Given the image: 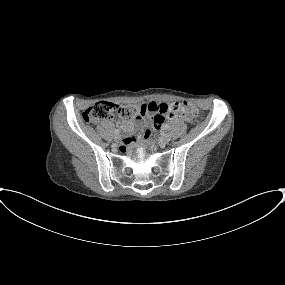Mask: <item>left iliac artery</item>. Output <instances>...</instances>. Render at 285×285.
<instances>
[{
	"mask_svg": "<svg viewBox=\"0 0 285 285\" xmlns=\"http://www.w3.org/2000/svg\"><path fill=\"white\" fill-rule=\"evenodd\" d=\"M164 128H165V129H168V128H169V126L166 124V125L164 126Z\"/></svg>",
	"mask_w": 285,
	"mask_h": 285,
	"instance_id": "left-iliac-artery-1",
	"label": "left iliac artery"
}]
</instances>
